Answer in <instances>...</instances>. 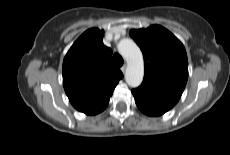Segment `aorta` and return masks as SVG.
Segmentation results:
<instances>
[{
  "mask_svg": "<svg viewBox=\"0 0 230 155\" xmlns=\"http://www.w3.org/2000/svg\"><path fill=\"white\" fill-rule=\"evenodd\" d=\"M120 54L127 62L125 80L130 87H138L144 76L143 55L140 48L131 39H123L118 44Z\"/></svg>",
  "mask_w": 230,
  "mask_h": 155,
  "instance_id": "1",
  "label": "aorta"
}]
</instances>
